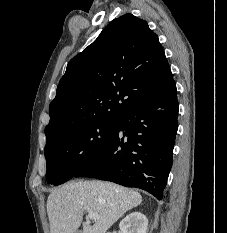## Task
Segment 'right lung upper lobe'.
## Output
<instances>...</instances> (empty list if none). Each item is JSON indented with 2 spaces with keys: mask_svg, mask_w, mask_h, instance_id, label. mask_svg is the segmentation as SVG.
Segmentation results:
<instances>
[{
  "mask_svg": "<svg viewBox=\"0 0 227 233\" xmlns=\"http://www.w3.org/2000/svg\"><path fill=\"white\" fill-rule=\"evenodd\" d=\"M173 76L157 35L132 14L114 19L72 58L50 103L47 141L97 120H119Z\"/></svg>",
  "mask_w": 227,
  "mask_h": 233,
  "instance_id": "right-lung-upper-lobe-1",
  "label": "right lung upper lobe"
}]
</instances>
